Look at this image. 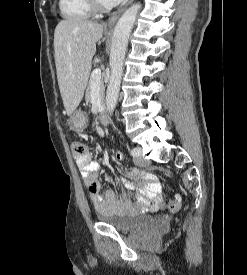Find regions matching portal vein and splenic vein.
<instances>
[{"label": "portal vein and splenic vein", "instance_id": "obj_1", "mask_svg": "<svg viewBox=\"0 0 247 275\" xmlns=\"http://www.w3.org/2000/svg\"><path fill=\"white\" fill-rule=\"evenodd\" d=\"M91 78H92L93 84L96 86H99L100 79H101V70L99 68L95 69L91 74Z\"/></svg>", "mask_w": 247, "mask_h": 275}]
</instances>
